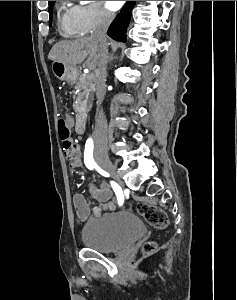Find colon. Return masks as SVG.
Listing matches in <instances>:
<instances>
[{
	"mask_svg": "<svg viewBox=\"0 0 237 300\" xmlns=\"http://www.w3.org/2000/svg\"><path fill=\"white\" fill-rule=\"evenodd\" d=\"M59 136L64 148V151H69L77 145V141L72 137L70 129L67 127L64 119H61L58 124ZM137 212L144 217L149 225L156 229H164L168 224L167 215L163 209L140 202L136 206ZM155 249L154 242H146L143 245L142 251L145 254L153 252Z\"/></svg>",
	"mask_w": 237,
	"mask_h": 300,
	"instance_id": "colon-1",
	"label": "colon"
}]
</instances>
